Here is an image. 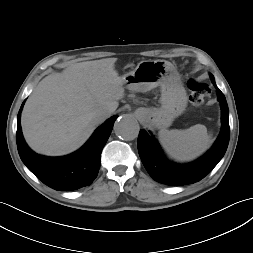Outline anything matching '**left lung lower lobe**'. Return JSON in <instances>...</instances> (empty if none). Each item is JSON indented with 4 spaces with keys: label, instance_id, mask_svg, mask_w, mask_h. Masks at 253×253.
Masks as SVG:
<instances>
[{
    "label": "left lung lower lobe",
    "instance_id": "obj_1",
    "mask_svg": "<svg viewBox=\"0 0 253 253\" xmlns=\"http://www.w3.org/2000/svg\"><path fill=\"white\" fill-rule=\"evenodd\" d=\"M217 89V100L221 105L222 128L212 148L198 160L189 164H175L168 161L152 135L144 129L139 133L138 152L150 176L166 185H187L200 181L209 174L224 156L229 143V110L224 94Z\"/></svg>",
    "mask_w": 253,
    "mask_h": 253
}]
</instances>
